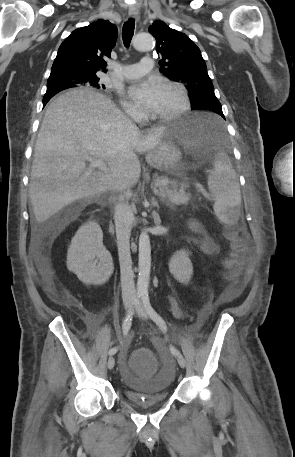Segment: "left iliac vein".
Masks as SVG:
<instances>
[{
    "label": "left iliac vein",
    "mask_w": 295,
    "mask_h": 457,
    "mask_svg": "<svg viewBox=\"0 0 295 457\" xmlns=\"http://www.w3.org/2000/svg\"><path fill=\"white\" fill-rule=\"evenodd\" d=\"M136 315L141 318V319H148V315L143 307V305L138 301L136 304ZM177 357V361H178V364L180 365L181 368H184L186 366V361L184 359V357L182 355H178L176 356Z\"/></svg>",
    "instance_id": "left-iliac-vein-1"
}]
</instances>
